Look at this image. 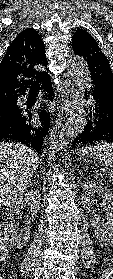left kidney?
<instances>
[{"instance_id": "obj_1", "label": "left kidney", "mask_w": 113, "mask_h": 279, "mask_svg": "<svg viewBox=\"0 0 113 279\" xmlns=\"http://www.w3.org/2000/svg\"><path fill=\"white\" fill-rule=\"evenodd\" d=\"M94 194H98L102 197L103 210L106 213V222L100 226V217L93 212L90 208L93 205L91 197ZM82 204L86 208L87 212L93 216L92 226L95 236L99 242L105 243V245H113V193L107 188H104L100 184L95 182H87L83 185Z\"/></svg>"}]
</instances>
